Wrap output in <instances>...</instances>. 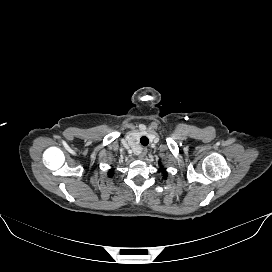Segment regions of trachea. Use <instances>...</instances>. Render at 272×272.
Wrapping results in <instances>:
<instances>
[{
  "label": "trachea",
  "instance_id": "1",
  "mask_svg": "<svg viewBox=\"0 0 272 272\" xmlns=\"http://www.w3.org/2000/svg\"><path fill=\"white\" fill-rule=\"evenodd\" d=\"M140 143L143 146H147L148 143H149V139L146 136H143V137L140 138Z\"/></svg>",
  "mask_w": 272,
  "mask_h": 272
}]
</instances>
